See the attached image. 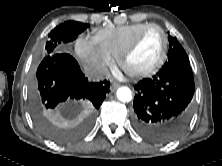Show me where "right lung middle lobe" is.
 Listing matches in <instances>:
<instances>
[{"instance_id": "right-lung-middle-lobe-1", "label": "right lung middle lobe", "mask_w": 222, "mask_h": 166, "mask_svg": "<svg viewBox=\"0 0 222 166\" xmlns=\"http://www.w3.org/2000/svg\"><path fill=\"white\" fill-rule=\"evenodd\" d=\"M88 26L89 24L85 23L66 21L55 27L50 32L45 46L47 55L56 52L55 48L60 44L75 40L78 34L83 32ZM32 116L36 126L44 135L59 142L68 141L63 137L64 131L54 122V117L45 115L42 111H32Z\"/></svg>"}]
</instances>
